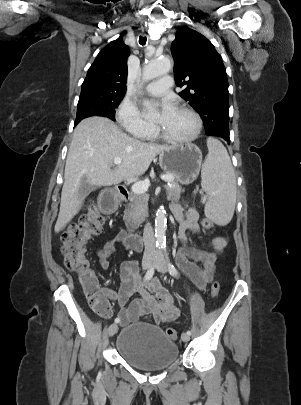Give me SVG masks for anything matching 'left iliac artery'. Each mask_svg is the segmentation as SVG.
Wrapping results in <instances>:
<instances>
[{
    "mask_svg": "<svg viewBox=\"0 0 301 405\" xmlns=\"http://www.w3.org/2000/svg\"><path fill=\"white\" fill-rule=\"evenodd\" d=\"M163 251L165 252V257H166V260H167V265H168V268H169V272H170V274L172 275V276H177L178 275V271H177V269L174 267V265L169 261V257H168V253H167V251H166V248L165 247H163ZM187 334H189V335H191V331H187Z\"/></svg>",
    "mask_w": 301,
    "mask_h": 405,
    "instance_id": "44dca946",
    "label": "left iliac artery"
}]
</instances>
